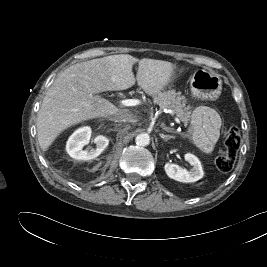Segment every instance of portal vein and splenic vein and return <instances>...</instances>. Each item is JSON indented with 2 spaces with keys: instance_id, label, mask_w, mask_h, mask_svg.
Here are the masks:
<instances>
[{
  "instance_id": "portal-vein-and-splenic-vein-1",
  "label": "portal vein and splenic vein",
  "mask_w": 267,
  "mask_h": 267,
  "mask_svg": "<svg viewBox=\"0 0 267 267\" xmlns=\"http://www.w3.org/2000/svg\"><path fill=\"white\" fill-rule=\"evenodd\" d=\"M121 104L124 106H136L140 104V101L138 99H125L121 101ZM174 120L176 121V123L181 124L179 118L175 117Z\"/></svg>"
}]
</instances>
